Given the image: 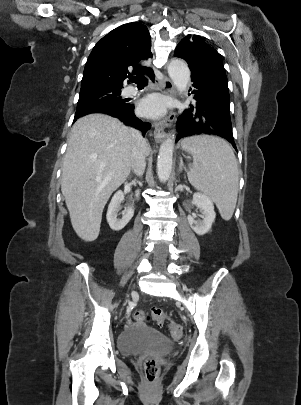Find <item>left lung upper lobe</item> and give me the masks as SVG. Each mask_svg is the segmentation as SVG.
Wrapping results in <instances>:
<instances>
[{
  "label": "left lung upper lobe",
  "instance_id": "obj_1",
  "mask_svg": "<svg viewBox=\"0 0 301 405\" xmlns=\"http://www.w3.org/2000/svg\"><path fill=\"white\" fill-rule=\"evenodd\" d=\"M175 56L183 58L191 69V78H199L216 93L229 98L227 77L218 52L200 36L188 35L175 49Z\"/></svg>",
  "mask_w": 301,
  "mask_h": 405
}]
</instances>
